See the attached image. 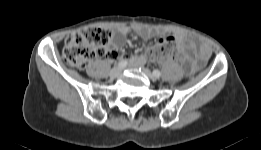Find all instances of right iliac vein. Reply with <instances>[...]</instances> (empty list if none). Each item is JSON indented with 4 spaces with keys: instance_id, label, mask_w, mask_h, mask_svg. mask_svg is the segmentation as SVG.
<instances>
[{
    "instance_id": "obj_1",
    "label": "right iliac vein",
    "mask_w": 261,
    "mask_h": 150,
    "mask_svg": "<svg viewBox=\"0 0 261 150\" xmlns=\"http://www.w3.org/2000/svg\"><path fill=\"white\" fill-rule=\"evenodd\" d=\"M121 73V69L118 68V67H115L113 68L111 71H110V77L111 78H117Z\"/></svg>"
}]
</instances>
